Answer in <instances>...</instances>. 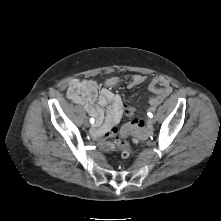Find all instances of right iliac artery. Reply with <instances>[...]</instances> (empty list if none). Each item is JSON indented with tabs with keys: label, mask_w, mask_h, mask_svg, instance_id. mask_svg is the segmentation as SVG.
Masks as SVG:
<instances>
[{
	"label": "right iliac artery",
	"mask_w": 221,
	"mask_h": 221,
	"mask_svg": "<svg viewBox=\"0 0 221 221\" xmlns=\"http://www.w3.org/2000/svg\"><path fill=\"white\" fill-rule=\"evenodd\" d=\"M95 122L94 118L90 119V123L93 124Z\"/></svg>",
	"instance_id": "82829eb1"
}]
</instances>
